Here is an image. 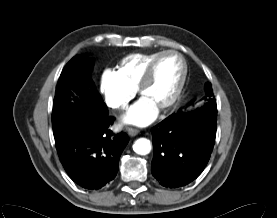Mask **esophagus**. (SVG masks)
Instances as JSON below:
<instances>
[{
    "instance_id": "obj_1",
    "label": "esophagus",
    "mask_w": 277,
    "mask_h": 218,
    "mask_svg": "<svg viewBox=\"0 0 277 218\" xmlns=\"http://www.w3.org/2000/svg\"><path fill=\"white\" fill-rule=\"evenodd\" d=\"M126 131L127 133L130 135V136H136L138 133H139V130L137 129H134V128H131V127H127L126 128Z\"/></svg>"
}]
</instances>
